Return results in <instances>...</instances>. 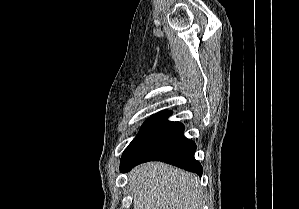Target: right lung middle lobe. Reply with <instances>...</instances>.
<instances>
[{"mask_svg": "<svg viewBox=\"0 0 299 209\" xmlns=\"http://www.w3.org/2000/svg\"><path fill=\"white\" fill-rule=\"evenodd\" d=\"M148 120H149V119H148ZM148 120H146V121L144 122V124L142 125V127L145 125V123H146ZM142 127H141V128H142Z\"/></svg>", "mask_w": 299, "mask_h": 209, "instance_id": "obj_1", "label": "right lung middle lobe"}]
</instances>
